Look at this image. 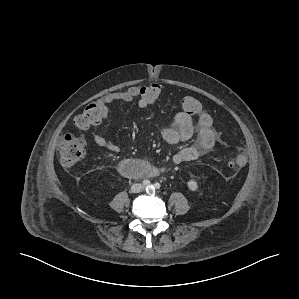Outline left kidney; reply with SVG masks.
I'll list each match as a JSON object with an SVG mask.
<instances>
[{
  "label": "left kidney",
  "mask_w": 299,
  "mask_h": 299,
  "mask_svg": "<svg viewBox=\"0 0 299 299\" xmlns=\"http://www.w3.org/2000/svg\"><path fill=\"white\" fill-rule=\"evenodd\" d=\"M187 186L191 191H197L198 190V184L195 180H189L187 182Z\"/></svg>",
  "instance_id": "obj_1"
}]
</instances>
